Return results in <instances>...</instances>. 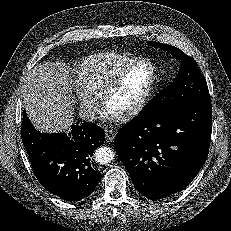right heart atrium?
<instances>
[{"mask_svg":"<svg viewBox=\"0 0 231 231\" xmlns=\"http://www.w3.org/2000/svg\"><path fill=\"white\" fill-rule=\"evenodd\" d=\"M73 91L77 97L82 113L87 117L91 116L96 110V98L89 95L79 85H74Z\"/></svg>","mask_w":231,"mask_h":231,"instance_id":"right-heart-atrium-1","label":"right heart atrium"}]
</instances>
